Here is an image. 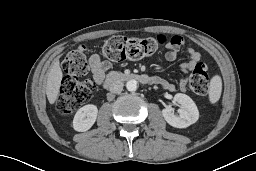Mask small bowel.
<instances>
[{"instance_id":"1","label":"small bowel","mask_w":256,"mask_h":171,"mask_svg":"<svg viewBox=\"0 0 256 171\" xmlns=\"http://www.w3.org/2000/svg\"><path fill=\"white\" fill-rule=\"evenodd\" d=\"M184 44V40L180 36H174L170 39V41L167 43V52L165 53V59L168 62L175 61L178 55V52L180 51L181 47ZM188 54V61L183 62L180 65L181 70L184 73H188L189 71L193 70L194 67L198 64L200 61V53L196 51L193 48L187 49ZM89 67L91 70V74L93 76L94 81L97 84H102L106 75V72L113 66V63L110 61H104L101 59L100 55L98 53H94L89 58ZM153 82L160 85L163 89L167 91H173L175 89V85L169 81H166L160 77H153ZM186 81L183 80L180 83V87L182 89H185Z\"/></svg>"}]
</instances>
